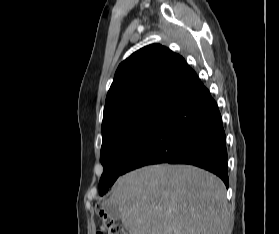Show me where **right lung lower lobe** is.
I'll return each instance as SVG.
<instances>
[{
    "label": "right lung lower lobe",
    "mask_w": 279,
    "mask_h": 234,
    "mask_svg": "<svg viewBox=\"0 0 279 234\" xmlns=\"http://www.w3.org/2000/svg\"><path fill=\"white\" fill-rule=\"evenodd\" d=\"M226 137L215 100L199 79L137 147L123 174L158 164H191L219 176L228 187Z\"/></svg>",
    "instance_id": "right-lung-lower-lobe-1"
}]
</instances>
